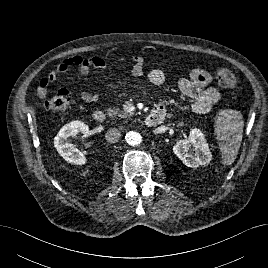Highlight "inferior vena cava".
Instances as JSON below:
<instances>
[{
    "label": "inferior vena cava",
    "mask_w": 268,
    "mask_h": 268,
    "mask_svg": "<svg viewBox=\"0 0 268 268\" xmlns=\"http://www.w3.org/2000/svg\"><path fill=\"white\" fill-rule=\"evenodd\" d=\"M120 137L121 132L116 128H110L105 134V139L108 143H115L120 139Z\"/></svg>",
    "instance_id": "obj_1"
}]
</instances>
